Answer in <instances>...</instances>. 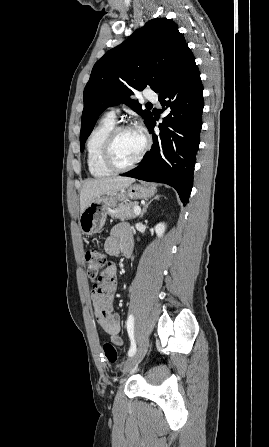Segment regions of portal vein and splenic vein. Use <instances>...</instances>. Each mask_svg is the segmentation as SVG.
I'll use <instances>...</instances> for the list:
<instances>
[{
  "label": "portal vein and splenic vein",
  "instance_id": "portal-vein-and-splenic-vein-1",
  "mask_svg": "<svg viewBox=\"0 0 269 447\" xmlns=\"http://www.w3.org/2000/svg\"><path fill=\"white\" fill-rule=\"evenodd\" d=\"M134 214L135 216H139V214H141L140 206H134Z\"/></svg>",
  "mask_w": 269,
  "mask_h": 447
}]
</instances>
